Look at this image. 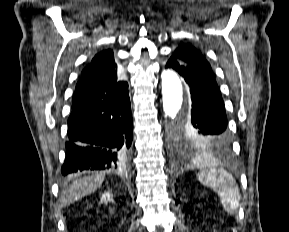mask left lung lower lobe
I'll return each mask as SVG.
<instances>
[{
  "mask_svg": "<svg viewBox=\"0 0 289 232\" xmlns=\"http://www.w3.org/2000/svg\"><path fill=\"white\" fill-rule=\"evenodd\" d=\"M166 67L177 71L190 88L192 109L188 122L191 127L211 142L214 151L228 152L231 137L224 102L214 75L183 64L175 57L169 59Z\"/></svg>",
  "mask_w": 289,
  "mask_h": 232,
  "instance_id": "obj_1",
  "label": "left lung lower lobe"
}]
</instances>
